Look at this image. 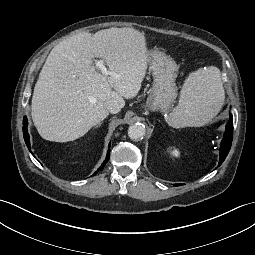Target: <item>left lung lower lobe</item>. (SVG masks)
<instances>
[{
    "label": "left lung lower lobe",
    "mask_w": 255,
    "mask_h": 255,
    "mask_svg": "<svg viewBox=\"0 0 255 255\" xmlns=\"http://www.w3.org/2000/svg\"><path fill=\"white\" fill-rule=\"evenodd\" d=\"M232 137H233V117H232V115H230L228 124L226 125L224 138L221 143L219 166L225 160V158L231 148ZM178 185H180V184H178Z\"/></svg>",
    "instance_id": "left-lung-lower-lobe-1"
}]
</instances>
